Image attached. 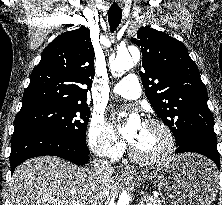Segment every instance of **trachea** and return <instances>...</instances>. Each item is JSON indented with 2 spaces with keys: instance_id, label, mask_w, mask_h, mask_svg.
<instances>
[{
  "instance_id": "1",
  "label": "trachea",
  "mask_w": 222,
  "mask_h": 205,
  "mask_svg": "<svg viewBox=\"0 0 222 205\" xmlns=\"http://www.w3.org/2000/svg\"><path fill=\"white\" fill-rule=\"evenodd\" d=\"M122 19V9L118 6H111L108 10V21L110 24V30L112 33L119 26Z\"/></svg>"
}]
</instances>
